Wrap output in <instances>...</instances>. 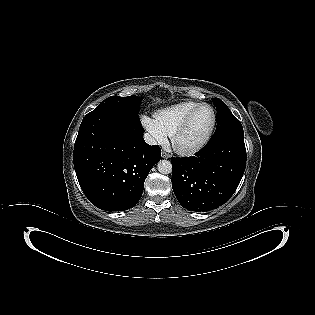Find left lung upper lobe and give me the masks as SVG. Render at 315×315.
Instances as JSON below:
<instances>
[{
  "label": "left lung upper lobe",
  "instance_id": "1",
  "mask_svg": "<svg viewBox=\"0 0 315 315\" xmlns=\"http://www.w3.org/2000/svg\"><path fill=\"white\" fill-rule=\"evenodd\" d=\"M212 100L217 109V127L210 141L229 135L244 137L240 121L231 113L228 106L219 98Z\"/></svg>",
  "mask_w": 315,
  "mask_h": 315
}]
</instances>
